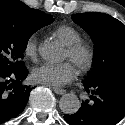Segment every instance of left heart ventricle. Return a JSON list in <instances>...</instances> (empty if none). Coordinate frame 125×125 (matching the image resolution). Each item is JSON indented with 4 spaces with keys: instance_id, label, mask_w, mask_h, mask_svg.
Here are the masks:
<instances>
[{
    "instance_id": "b2bd125f",
    "label": "left heart ventricle",
    "mask_w": 125,
    "mask_h": 125,
    "mask_svg": "<svg viewBox=\"0 0 125 125\" xmlns=\"http://www.w3.org/2000/svg\"><path fill=\"white\" fill-rule=\"evenodd\" d=\"M64 58L69 59L74 65H76V61H74L73 59H71V58L69 57V54L67 53L66 50H65Z\"/></svg>"
}]
</instances>
